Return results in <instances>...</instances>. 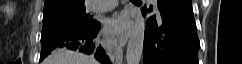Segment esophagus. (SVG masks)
Instances as JSON below:
<instances>
[{
  "mask_svg": "<svg viewBox=\"0 0 242 64\" xmlns=\"http://www.w3.org/2000/svg\"><path fill=\"white\" fill-rule=\"evenodd\" d=\"M130 33H131V31H130V29H128L122 36H120L118 38V42H119L120 46L123 47L126 45L128 39L130 37Z\"/></svg>",
  "mask_w": 242,
  "mask_h": 64,
  "instance_id": "34e87169",
  "label": "esophagus"
}]
</instances>
